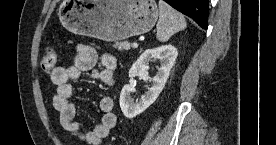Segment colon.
<instances>
[{
  "mask_svg": "<svg viewBox=\"0 0 276 145\" xmlns=\"http://www.w3.org/2000/svg\"><path fill=\"white\" fill-rule=\"evenodd\" d=\"M57 53L53 47L48 48L42 55L41 68L44 72H50L56 64Z\"/></svg>",
  "mask_w": 276,
  "mask_h": 145,
  "instance_id": "colon-1",
  "label": "colon"
}]
</instances>
